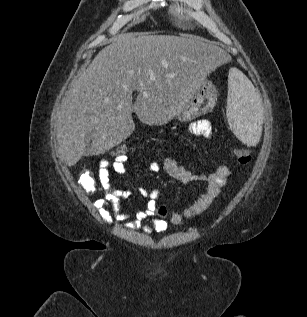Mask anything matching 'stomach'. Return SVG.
I'll return each instance as SVG.
<instances>
[{
  "mask_svg": "<svg viewBox=\"0 0 307 317\" xmlns=\"http://www.w3.org/2000/svg\"><path fill=\"white\" fill-rule=\"evenodd\" d=\"M217 98L214 86L203 83L196 87L185 102L182 111L178 116L181 121L190 120L201 114L208 113L214 106Z\"/></svg>",
  "mask_w": 307,
  "mask_h": 317,
  "instance_id": "stomach-1",
  "label": "stomach"
}]
</instances>
